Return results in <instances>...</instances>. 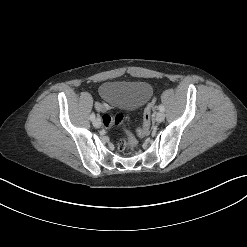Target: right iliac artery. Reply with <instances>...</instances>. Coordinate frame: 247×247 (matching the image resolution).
Segmentation results:
<instances>
[{"mask_svg":"<svg viewBox=\"0 0 247 247\" xmlns=\"http://www.w3.org/2000/svg\"><path fill=\"white\" fill-rule=\"evenodd\" d=\"M94 119H95V113H92V114L90 115V120L93 121Z\"/></svg>","mask_w":247,"mask_h":247,"instance_id":"right-iliac-artery-1","label":"right iliac artery"}]
</instances>
